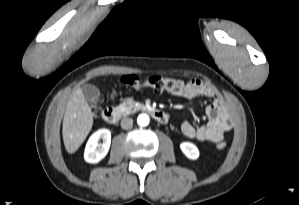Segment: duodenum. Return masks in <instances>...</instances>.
<instances>
[{
    "instance_id": "410a0bca",
    "label": "duodenum",
    "mask_w": 299,
    "mask_h": 205,
    "mask_svg": "<svg viewBox=\"0 0 299 205\" xmlns=\"http://www.w3.org/2000/svg\"><path fill=\"white\" fill-rule=\"evenodd\" d=\"M144 111L149 113L157 122L165 124L168 122V115L162 110L153 107H144ZM103 119L110 123H117L123 116V111L118 107H107L102 113Z\"/></svg>"
}]
</instances>
